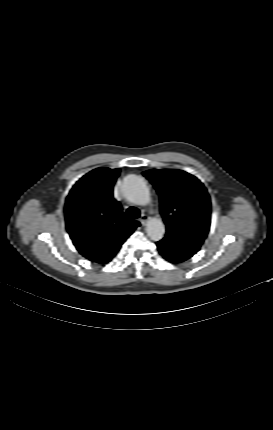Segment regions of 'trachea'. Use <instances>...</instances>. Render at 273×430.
<instances>
[{
	"label": "trachea",
	"instance_id": "3493384b",
	"mask_svg": "<svg viewBox=\"0 0 273 430\" xmlns=\"http://www.w3.org/2000/svg\"><path fill=\"white\" fill-rule=\"evenodd\" d=\"M140 217V211L136 207H129L126 210L125 218L126 220H133Z\"/></svg>",
	"mask_w": 273,
	"mask_h": 430
}]
</instances>
